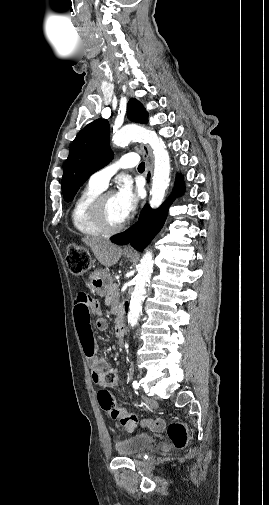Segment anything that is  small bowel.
Returning a JSON list of instances; mask_svg holds the SVG:
<instances>
[{
    "mask_svg": "<svg viewBox=\"0 0 269 505\" xmlns=\"http://www.w3.org/2000/svg\"><path fill=\"white\" fill-rule=\"evenodd\" d=\"M75 299V320L78 335L86 357L89 359L92 369V377L96 383H99L101 374L106 371L108 363L103 354L97 353L96 345L93 337L91 315H97L95 321L96 327L104 331L107 329V322L100 317L101 309L93 298H88V292L85 289H80L77 292ZM142 427L161 431L164 429L165 423L162 419H143L140 422Z\"/></svg>",
    "mask_w": 269,
    "mask_h": 505,
    "instance_id": "small-bowel-1",
    "label": "small bowel"
}]
</instances>
